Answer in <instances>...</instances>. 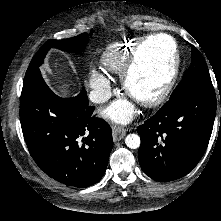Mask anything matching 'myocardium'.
Instances as JSON below:
<instances>
[{
  "label": "myocardium",
  "instance_id": "myocardium-1",
  "mask_svg": "<svg viewBox=\"0 0 221 221\" xmlns=\"http://www.w3.org/2000/svg\"><path fill=\"white\" fill-rule=\"evenodd\" d=\"M156 37H165L172 44V54L170 58V63L167 67V77L163 83L156 85V90L153 92H150V94L147 97H138L131 92L130 83H131L132 75L138 65V62L140 60V57H141V54L145 45ZM180 62H181V58H180V54L178 50V45L172 35L168 33H156V34L147 35L143 37L136 44L126 65L124 66L120 74L122 88L129 97H131L133 100H135L142 106L155 107L161 104L165 100V98L168 96L169 92L171 91L178 75Z\"/></svg>",
  "mask_w": 221,
  "mask_h": 221
}]
</instances>
